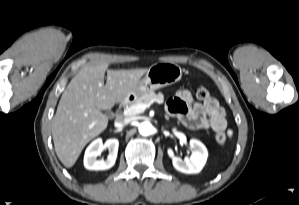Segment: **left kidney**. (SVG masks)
<instances>
[{
    "instance_id": "left-kidney-1",
    "label": "left kidney",
    "mask_w": 299,
    "mask_h": 205,
    "mask_svg": "<svg viewBox=\"0 0 299 205\" xmlns=\"http://www.w3.org/2000/svg\"><path fill=\"white\" fill-rule=\"evenodd\" d=\"M190 147L193 152L190 158H185L184 160L176 157L173 150L170 148L167 150V153L172 159L173 166L176 170L185 174H196L204 167L207 161L208 151L205 145L196 139L190 140Z\"/></svg>"
}]
</instances>
